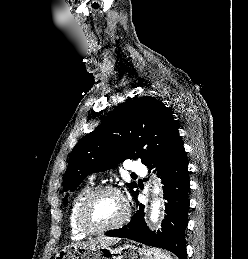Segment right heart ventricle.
Returning <instances> with one entry per match:
<instances>
[{"instance_id": "right-heart-ventricle-1", "label": "right heart ventricle", "mask_w": 248, "mask_h": 259, "mask_svg": "<svg viewBox=\"0 0 248 259\" xmlns=\"http://www.w3.org/2000/svg\"><path fill=\"white\" fill-rule=\"evenodd\" d=\"M92 190L91 185H87L81 190H79L75 196L72 199L70 210H69V216H68V222H69V228L71 235L76 238L80 239L85 237L87 234L79 227L77 223V210L81 203V201L84 199V197Z\"/></svg>"}]
</instances>
